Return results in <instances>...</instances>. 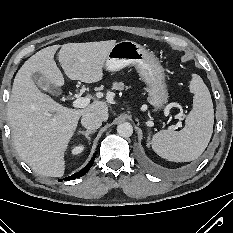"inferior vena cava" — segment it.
I'll return each mask as SVG.
<instances>
[{
  "label": "inferior vena cava",
  "instance_id": "inferior-vena-cava-1",
  "mask_svg": "<svg viewBox=\"0 0 233 233\" xmlns=\"http://www.w3.org/2000/svg\"><path fill=\"white\" fill-rule=\"evenodd\" d=\"M81 124L88 130H96L102 125V119L95 113H86L81 118Z\"/></svg>",
  "mask_w": 233,
  "mask_h": 233
}]
</instances>
